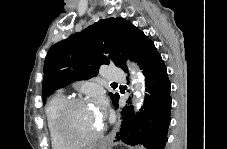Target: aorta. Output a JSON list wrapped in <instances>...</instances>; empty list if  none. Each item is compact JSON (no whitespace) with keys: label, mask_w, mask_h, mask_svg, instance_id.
I'll list each match as a JSON object with an SVG mask.
<instances>
[{"label":"aorta","mask_w":227,"mask_h":149,"mask_svg":"<svg viewBox=\"0 0 227 149\" xmlns=\"http://www.w3.org/2000/svg\"><path fill=\"white\" fill-rule=\"evenodd\" d=\"M128 63V68L131 74L132 84L134 86V110L137 112L141 106L143 105L144 101V93H145V81L142 74L138 71L137 67L135 65Z\"/></svg>","instance_id":"1"}]
</instances>
